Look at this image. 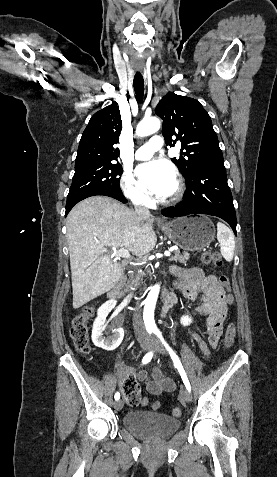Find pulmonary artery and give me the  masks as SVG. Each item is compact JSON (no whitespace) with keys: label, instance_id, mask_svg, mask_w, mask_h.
<instances>
[{"label":"pulmonary artery","instance_id":"obj_1","mask_svg":"<svg viewBox=\"0 0 277 477\" xmlns=\"http://www.w3.org/2000/svg\"><path fill=\"white\" fill-rule=\"evenodd\" d=\"M163 146V139L159 135H154L148 143L139 147L135 152V158L138 160H146L152 157L153 153Z\"/></svg>","mask_w":277,"mask_h":477}]
</instances>
